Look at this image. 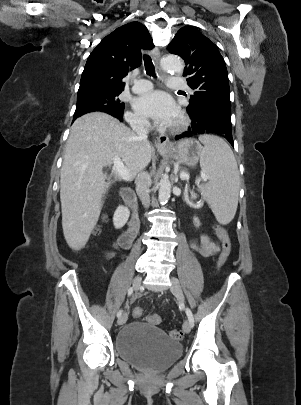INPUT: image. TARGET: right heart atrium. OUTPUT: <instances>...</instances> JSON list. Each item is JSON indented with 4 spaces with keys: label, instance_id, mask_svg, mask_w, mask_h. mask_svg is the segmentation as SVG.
Segmentation results:
<instances>
[{
    "label": "right heart atrium",
    "instance_id": "1",
    "mask_svg": "<svg viewBox=\"0 0 301 405\" xmlns=\"http://www.w3.org/2000/svg\"><path fill=\"white\" fill-rule=\"evenodd\" d=\"M126 119L128 123L135 129H145L149 126L147 119L136 113L128 112L126 114Z\"/></svg>",
    "mask_w": 301,
    "mask_h": 405
}]
</instances>
